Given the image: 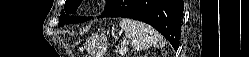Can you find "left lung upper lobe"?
<instances>
[{"instance_id": "1", "label": "left lung upper lobe", "mask_w": 249, "mask_h": 57, "mask_svg": "<svg viewBox=\"0 0 249 57\" xmlns=\"http://www.w3.org/2000/svg\"><path fill=\"white\" fill-rule=\"evenodd\" d=\"M114 0H106L107 6L106 8L113 2ZM81 0H66L64 11L61 12L59 26H63L66 23H80L85 22L91 17H81V16H70L72 13H76L77 7L80 5Z\"/></svg>"}]
</instances>
